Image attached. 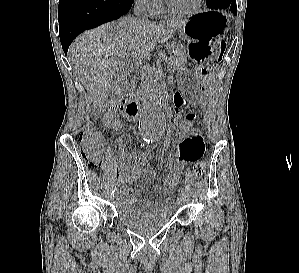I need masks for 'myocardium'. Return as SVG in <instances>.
Instances as JSON below:
<instances>
[{
    "label": "myocardium",
    "mask_w": 299,
    "mask_h": 273,
    "mask_svg": "<svg viewBox=\"0 0 299 273\" xmlns=\"http://www.w3.org/2000/svg\"><path fill=\"white\" fill-rule=\"evenodd\" d=\"M166 7L168 8L169 11L175 14H180V15H192L195 14L202 6L204 3V0H197V2L191 6L190 8H178L174 6L170 0H164Z\"/></svg>",
    "instance_id": "myocardium-1"
}]
</instances>
